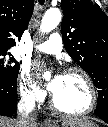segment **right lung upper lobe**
I'll return each mask as SVG.
<instances>
[{
  "mask_svg": "<svg viewBox=\"0 0 108 127\" xmlns=\"http://www.w3.org/2000/svg\"><path fill=\"white\" fill-rule=\"evenodd\" d=\"M33 0H0V51L16 45L28 26L33 12Z\"/></svg>",
  "mask_w": 108,
  "mask_h": 127,
  "instance_id": "right-lung-upper-lobe-1",
  "label": "right lung upper lobe"
}]
</instances>
